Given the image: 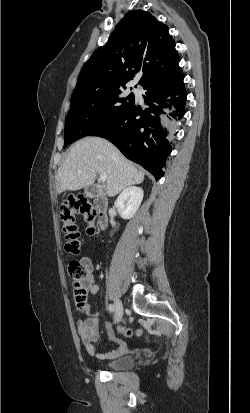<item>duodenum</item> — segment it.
<instances>
[{
  "label": "duodenum",
  "mask_w": 250,
  "mask_h": 413,
  "mask_svg": "<svg viewBox=\"0 0 250 413\" xmlns=\"http://www.w3.org/2000/svg\"><path fill=\"white\" fill-rule=\"evenodd\" d=\"M95 209L97 212V224L99 229L103 230L108 225V203L102 196H97L94 200Z\"/></svg>",
  "instance_id": "1"
}]
</instances>
